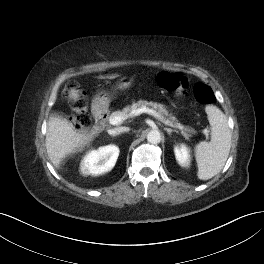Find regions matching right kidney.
Listing matches in <instances>:
<instances>
[{"mask_svg": "<svg viewBox=\"0 0 264 264\" xmlns=\"http://www.w3.org/2000/svg\"><path fill=\"white\" fill-rule=\"evenodd\" d=\"M119 152V148L115 145H107L98 150H92L81 162V173L96 176L110 171L115 166Z\"/></svg>", "mask_w": 264, "mask_h": 264, "instance_id": "1", "label": "right kidney"}]
</instances>
